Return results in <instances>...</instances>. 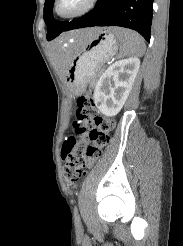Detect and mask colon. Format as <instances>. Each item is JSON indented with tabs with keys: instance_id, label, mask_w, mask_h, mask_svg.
<instances>
[{
	"instance_id": "5ec220e1",
	"label": "colon",
	"mask_w": 183,
	"mask_h": 246,
	"mask_svg": "<svg viewBox=\"0 0 183 246\" xmlns=\"http://www.w3.org/2000/svg\"><path fill=\"white\" fill-rule=\"evenodd\" d=\"M114 124L112 118L98 113L91 94L86 93L78 98L74 126L76 134L82 138H70L62 147L64 179L68 185L75 184L101 157L110 141Z\"/></svg>"
}]
</instances>
